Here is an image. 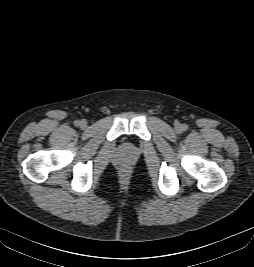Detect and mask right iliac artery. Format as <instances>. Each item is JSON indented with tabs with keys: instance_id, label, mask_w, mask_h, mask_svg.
<instances>
[{
	"instance_id": "obj_1",
	"label": "right iliac artery",
	"mask_w": 254,
	"mask_h": 267,
	"mask_svg": "<svg viewBox=\"0 0 254 267\" xmlns=\"http://www.w3.org/2000/svg\"><path fill=\"white\" fill-rule=\"evenodd\" d=\"M74 124H75V126H80V121H79V120H76V121L74 122Z\"/></svg>"
}]
</instances>
